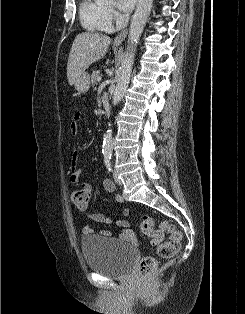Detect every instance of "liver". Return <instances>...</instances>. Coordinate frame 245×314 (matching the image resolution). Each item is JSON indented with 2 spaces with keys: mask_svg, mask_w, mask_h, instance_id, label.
I'll list each match as a JSON object with an SVG mask.
<instances>
[{
  "mask_svg": "<svg viewBox=\"0 0 245 314\" xmlns=\"http://www.w3.org/2000/svg\"><path fill=\"white\" fill-rule=\"evenodd\" d=\"M110 43L109 36L99 33L83 32L76 36L67 63L69 85H73L92 63L106 55Z\"/></svg>",
  "mask_w": 245,
  "mask_h": 314,
  "instance_id": "obj_1",
  "label": "liver"
}]
</instances>
